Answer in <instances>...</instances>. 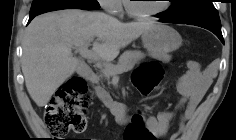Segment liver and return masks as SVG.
<instances>
[{
    "label": "liver",
    "mask_w": 236,
    "mask_h": 140,
    "mask_svg": "<svg viewBox=\"0 0 236 140\" xmlns=\"http://www.w3.org/2000/svg\"><path fill=\"white\" fill-rule=\"evenodd\" d=\"M155 23H122L102 12L66 9L37 16L27 27L21 61L27 91L39 107L82 66L73 46L89 45L105 60L115 59L121 48L137 39Z\"/></svg>",
    "instance_id": "obj_1"
}]
</instances>
